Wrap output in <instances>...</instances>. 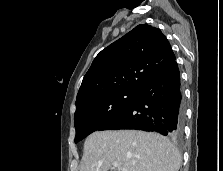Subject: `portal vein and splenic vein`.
<instances>
[{
    "label": "portal vein and splenic vein",
    "instance_id": "portal-vein-and-splenic-vein-1",
    "mask_svg": "<svg viewBox=\"0 0 223 171\" xmlns=\"http://www.w3.org/2000/svg\"><path fill=\"white\" fill-rule=\"evenodd\" d=\"M113 167H114L115 169H119V171H126L125 168H121V167H119V165H118L117 163H114V164H113Z\"/></svg>",
    "mask_w": 223,
    "mask_h": 171
}]
</instances>
